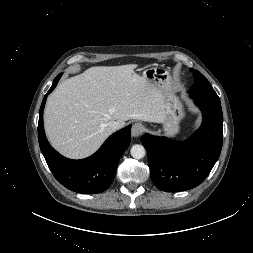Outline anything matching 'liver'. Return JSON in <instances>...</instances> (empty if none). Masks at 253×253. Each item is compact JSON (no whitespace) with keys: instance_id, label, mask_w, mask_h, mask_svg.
<instances>
[{"instance_id":"obj_1","label":"liver","mask_w":253,"mask_h":253,"mask_svg":"<svg viewBox=\"0 0 253 253\" xmlns=\"http://www.w3.org/2000/svg\"><path fill=\"white\" fill-rule=\"evenodd\" d=\"M137 64L96 66L68 78L49 95L44 128L51 145L66 157L93 154L113 133L111 121L162 123L165 90L134 72Z\"/></svg>"}]
</instances>
